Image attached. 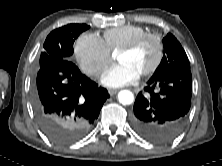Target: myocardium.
<instances>
[{
  "mask_svg": "<svg viewBox=\"0 0 222 166\" xmlns=\"http://www.w3.org/2000/svg\"><path fill=\"white\" fill-rule=\"evenodd\" d=\"M151 39L155 42L156 44V56H155V60L152 63V65L145 70L144 72H142L140 74V76H149L152 73H154L158 67L160 66L162 59H163V55H164V47H163V43L161 38L155 34V33H144L142 35H139L138 37L134 38L131 42H129L128 44H126L125 46L121 47L117 53H129L134 51L135 49H137L145 40Z\"/></svg>",
  "mask_w": 222,
  "mask_h": 166,
  "instance_id": "obj_1",
  "label": "myocardium"
}]
</instances>
